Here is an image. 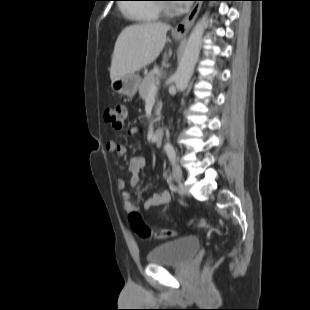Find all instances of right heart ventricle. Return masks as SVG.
<instances>
[{
    "instance_id": "obj_1",
    "label": "right heart ventricle",
    "mask_w": 310,
    "mask_h": 310,
    "mask_svg": "<svg viewBox=\"0 0 310 310\" xmlns=\"http://www.w3.org/2000/svg\"><path fill=\"white\" fill-rule=\"evenodd\" d=\"M124 13L132 19L148 23L155 21L159 18L160 9L159 5H129L123 7Z\"/></svg>"
}]
</instances>
